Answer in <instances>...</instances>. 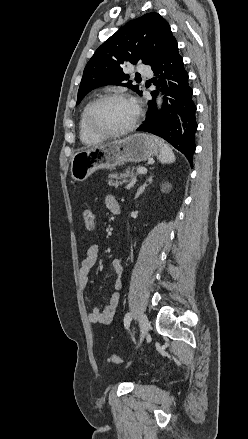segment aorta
<instances>
[{
    "mask_svg": "<svg viewBox=\"0 0 248 439\" xmlns=\"http://www.w3.org/2000/svg\"><path fill=\"white\" fill-rule=\"evenodd\" d=\"M156 103H157L158 108H160L161 103H162V97L159 96V97L157 98Z\"/></svg>",
    "mask_w": 248,
    "mask_h": 439,
    "instance_id": "obj_1",
    "label": "aorta"
}]
</instances>
